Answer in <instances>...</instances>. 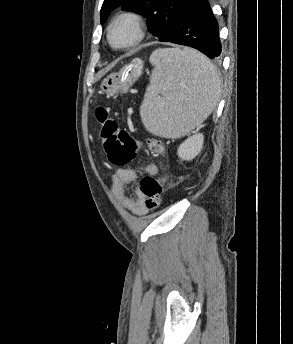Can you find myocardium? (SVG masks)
Masks as SVG:
<instances>
[{"label":"myocardium","instance_id":"myocardium-1","mask_svg":"<svg viewBox=\"0 0 293 344\" xmlns=\"http://www.w3.org/2000/svg\"><path fill=\"white\" fill-rule=\"evenodd\" d=\"M127 22L134 30V38L127 44L116 45L112 40V30L119 23ZM145 35L144 23L142 17L132 11H124L117 14L107 27V40L112 49L117 51L128 50L137 46Z\"/></svg>","mask_w":293,"mask_h":344}]
</instances>
